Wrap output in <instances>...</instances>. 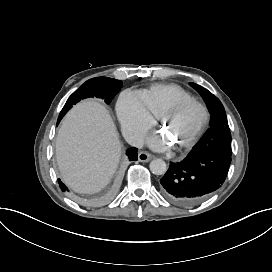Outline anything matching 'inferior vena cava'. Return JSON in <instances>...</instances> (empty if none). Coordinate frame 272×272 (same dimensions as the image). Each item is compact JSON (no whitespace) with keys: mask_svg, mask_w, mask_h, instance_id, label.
Wrapping results in <instances>:
<instances>
[{"mask_svg":"<svg viewBox=\"0 0 272 272\" xmlns=\"http://www.w3.org/2000/svg\"><path fill=\"white\" fill-rule=\"evenodd\" d=\"M129 144L141 148L143 144V137L142 136L133 137L129 140Z\"/></svg>","mask_w":272,"mask_h":272,"instance_id":"1","label":"inferior vena cava"}]
</instances>
